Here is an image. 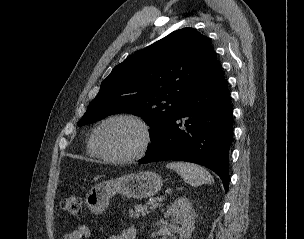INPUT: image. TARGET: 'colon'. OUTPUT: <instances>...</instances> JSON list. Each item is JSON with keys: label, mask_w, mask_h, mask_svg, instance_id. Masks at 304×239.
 I'll return each instance as SVG.
<instances>
[{"label": "colon", "mask_w": 304, "mask_h": 239, "mask_svg": "<svg viewBox=\"0 0 304 239\" xmlns=\"http://www.w3.org/2000/svg\"><path fill=\"white\" fill-rule=\"evenodd\" d=\"M62 209L71 214L79 215L82 211V200L78 195H70L65 197L61 203Z\"/></svg>", "instance_id": "1"}]
</instances>
